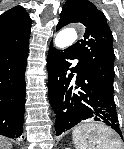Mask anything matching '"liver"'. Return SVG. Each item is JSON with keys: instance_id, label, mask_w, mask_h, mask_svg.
<instances>
[{"instance_id": "6515ba94", "label": "liver", "mask_w": 124, "mask_h": 149, "mask_svg": "<svg viewBox=\"0 0 124 149\" xmlns=\"http://www.w3.org/2000/svg\"><path fill=\"white\" fill-rule=\"evenodd\" d=\"M11 147L12 144L7 139L0 136V149H11Z\"/></svg>"}]
</instances>
